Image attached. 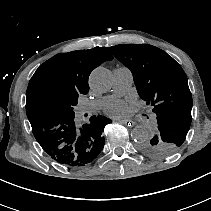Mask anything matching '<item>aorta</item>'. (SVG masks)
<instances>
[{"label": "aorta", "instance_id": "obj_1", "mask_svg": "<svg viewBox=\"0 0 211 211\" xmlns=\"http://www.w3.org/2000/svg\"><path fill=\"white\" fill-rule=\"evenodd\" d=\"M89 84L91 89L96 92H107L111 89L113 84L112 74L108 69L98 67L92 71L89 77ZM149 137L150 133L144 126L137 125L131 131V138L137 143H141L149 139Z\"/></svg>", "mask_w": 211, "mask_h": 211}]
</instances>
